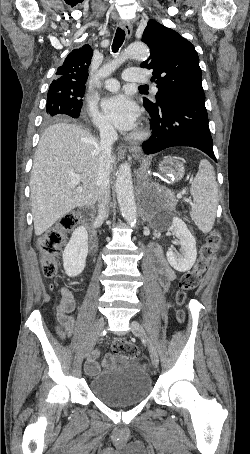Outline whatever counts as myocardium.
<instances>
[{
  "label": "myocardium",
  "instance_id": "f54148a6",
  "mask_svg": "<svg viewBox=\"0 0 250 454\" xmlns=\"http://www.w3.org/2000/svg\"><path fill=\"white\" fill-rule=\"evenodd\" d=\"M145 135L144 131H138L133 134V138L139 139L142 138Z\"/></svg>",
  "mask_w": 250,
  "mask_h": 454
}]
</instances>
